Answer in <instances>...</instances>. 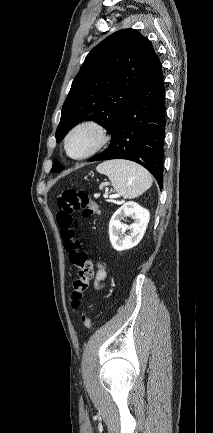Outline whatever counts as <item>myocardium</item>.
Returning a JSON list of instances; mask_svg holds the SVG:
<instances>
[{"mask_svg": "<svg viewBox=\"0 0 213 433\" xmlns=\"http://www.w3.org/2000/svg\"><path fill=\"white\" fill-rule=\"evenodd\" d=\"M82 129H91V130L95 131L97 136H98V140H97V143L95 144V146L90 151H88L87 153H85L81 156H73L69 152V148H68L69 140L74 133H76L77 131L82 130ZM108 141H109V136H108L107 130L105 129V127L103 125H101L100 123H98L97 121H94V120H84V121L77 123L75 126H73L69 130V132L67 133L65 140H64V149H65L66 154L70 158L75 159V160H83V159L89 158V157L93 156L94 154H96L97 152H99L102 148L105 147V145L108 143Z\"/></svg>", "mask_w": 213, "mask_h": 433, "instance_id": "1", "label": "myocardium"}]
</instances>
